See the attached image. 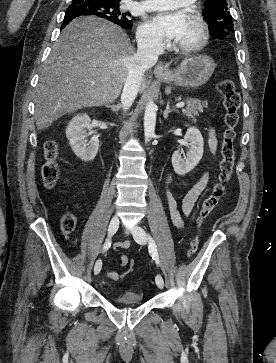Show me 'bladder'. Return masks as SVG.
Instances as JSON below:
<instances>
[{"label":"bladder","mask_w":276,"mask_h":363,"mask_svg":"<svg viewBox=\"0 0 276 363\" xmlns=\"http://www.w3.org/2000/svg\"><path fill=\"white\" fill-rule=\"evenodd\" d=\"M114 301L121 305H138L143 303L144 298L141 294L133 291H123L117 295Z\"/></svg>","instance_id":"obj_1"}]
</instances>
